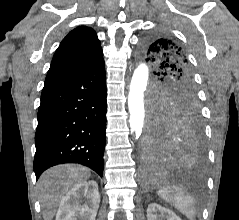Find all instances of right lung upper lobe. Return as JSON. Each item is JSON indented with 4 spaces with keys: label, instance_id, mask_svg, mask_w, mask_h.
I'll use <instances>...</instances> for the list:
<instances>
[{
    "label": "right lung upper lobe",
    "instance_id": "right-lung-upper-lobe-1",
    "mask_svg": "<svg viewBox=\"0 0 239 220\" xmlns=\"http://www.w3.org/2000/svg\"><path fill=\"white\" fill-rule=\"evenodd\" d=\"M103 60L102 48L96 32L89 27L75 28L56 50L45 84L77 75Z\"/></svg>",
    "mask_w": 239,
    "mask_h": 220
}]
</instances>
